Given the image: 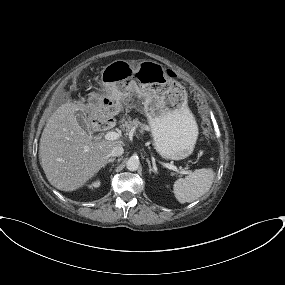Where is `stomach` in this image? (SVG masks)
<instances>
[{"instance_id":"obj_1","label":"stomach","mask_w":285,"mask_h":285,"mask_svg":"<svg viewBox=\"0 0 285 285\" xmlns=\"http://www.w3.org/2000/svg\"><path fill=\"white\" fill-rule=\"evenodd\" d=\"M101 83L107 93L102 100L100 122L118 115L123 99L135 92L144 99V112L157 153L167 160H181L193 152L198 128L188 107L186 90L167 76L161 64L143 60L132 65L116 60L101 71Z\"/></svg>"}]
</instances>
